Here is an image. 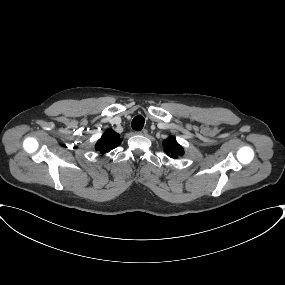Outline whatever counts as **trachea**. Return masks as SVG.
<instances>
[{"label":"trachea","instance_id":"3493384b","mask_svg":"<svg viewBox=\"0 0 285 285\" xmlns=\"http://www.w3.org/2000/svg\"><path fill=\"white\" fill-rule=\"evenodd\" d=\"M144 118L141 115H138L136 117H134V119L132 120V129L135 131H140L143 129L144 126Z\"/></svg>","mask_w":285,"mask_h":285}]
</instances>
